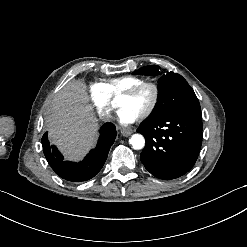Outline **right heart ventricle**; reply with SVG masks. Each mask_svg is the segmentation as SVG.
Returning a JSON list of instances; mask_svg holds the SVG:
<instances>
[{"label":"right heart ventricle","instance_id":"obj_1","mask_svg":"<svg viewBox=\"0 0 247 247\" xmlns=\"http://www.w3.org/2000/svg\"><path fill=\"white\" fill-rule=\"evenodd\" d=\"M141 83H143L141 79L127 76L112 80L108 85V89L113 94H124L131 91Z\"/></svg>","mask_w":247,"mask_h":247}]
</instances>
